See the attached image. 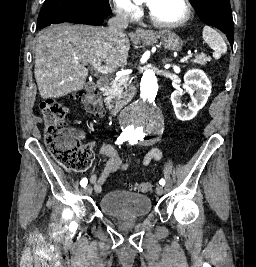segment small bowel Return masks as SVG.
<instances>
[{
    "label": "small bowel",
    "mask_w": 256,
    "mask_h": 267,
    "mask_svg": "<svg viewBox=\"0 0 256 267\" xmlns=\"http://www.w3.org/2000/svg\"><path fill=\"white\" fill-rule=\"evenodd\" d=\"M80 141L84 140L83 136L79 137ZM98 153L106 158V164L99 174H93L91 183L96 192H101L103 184L111 179L115 172L128 167L127 163H123L118 153L109 145H101L98 148ZM162 158V153L157 148L150 149L142 159L143 165H148L152 161H159Z\"/></svg>",
    "instance_id": "obj_1"
}]
</instances>
